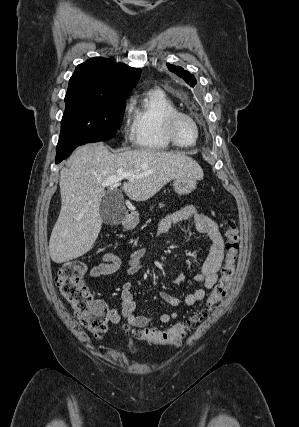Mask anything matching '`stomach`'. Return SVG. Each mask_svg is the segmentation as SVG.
Returning <instances> with one entry per match:
<instances>
[{
    "label": "stomach",
    "instance_id": "obj_1",
    "mask_svg": "<svg viewBox=\"0 0 299 427\" xmlns=\"http://www.w3.org/2000/svg\"><path fill=\"white\" fill-rule=\"evenodd\" d=\"M196 178L189 176L177 177L173 181V188L178 195H188L193 192L196 188ZM139 223L138 214H134L126 221L128 228H134Z\"/></svg>",
    "mask_w": 299,
    "mask_h": 427
}]
</instances>
